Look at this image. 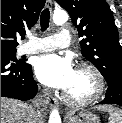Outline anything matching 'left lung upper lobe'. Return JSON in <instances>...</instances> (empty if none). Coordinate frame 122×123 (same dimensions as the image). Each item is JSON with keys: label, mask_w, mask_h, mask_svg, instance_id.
<instances>
[{"label": "left lung upper lobe", "mask_w": 122, "mask_h": 123, "mask_svg": "<svg viewBox=\"0 0 122 123\" xmlns=\"http://www.w3.org/2000/svg\"><path fill=\"white\" fill-rule=\"evenodd\" d=\"M78 29L82 55L107 82L122 78V48L117 27L105 0H56Z\"/></svg>", "instance_id": "obj_1"}]
</instances>
